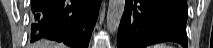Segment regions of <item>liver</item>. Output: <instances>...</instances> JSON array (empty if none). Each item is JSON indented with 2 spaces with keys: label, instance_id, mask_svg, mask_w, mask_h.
<instances>
[{
  "label": "liver",
  "instance_id": "6515ba94",
  "mask_svg": "<svg viewBox=\"0 0 213 48\" xmlns=\"http://www.w3.org/2000/svg\"><path fill=\"white\" fill-rule=\"evenodd\" d=\"M32 48H66L65 45L55 44L48 40H40L32 45Z\"/></svg>",
  "mask_w": 213,
  "mask_h": 48
}]
</instances>
